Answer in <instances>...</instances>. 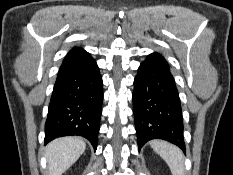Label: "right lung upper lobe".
<instances>
[{
	"label": "right lung upper lobe",
	"mask_w": 233,
	"mask_h": 175,
	"mask_svg": "<svg viewBox=\"0 0 233 175\" xmlns=\"http://www.w3.org/2000/svg\"><path fill=\"white\" fill-rule=\"evenodd\" d=\"M86 52L85 50H83L82 48H73L72 50H70V52L66 55V57L64 58L65 59H68V58H71V57H74L76 55H79L81 53H84Z\"/></svg>",
	"instance_id": "right-lung-upper-lobe-1"
}]
</instances>
